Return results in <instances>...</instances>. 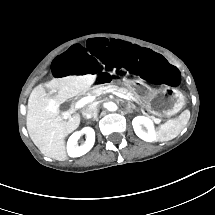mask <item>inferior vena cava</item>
<instances>
[{
    "label": "inferior vena cava",
    "instance_id": "inferior-vena-cava-1",
    "mask_svg": "<svg viewBox=\"0 0 215 215\" xmlns=\"http://www.w3.org/2000/svg\"><path fill=\"white\" fill-rule=\"evenodd\" d=\"M82 115L85 119H91L97 115V107L94 105H87L82 109Z\"/></svg>",
    "mask_w": 215,
    "mask_h": 215
}]
</instances>
